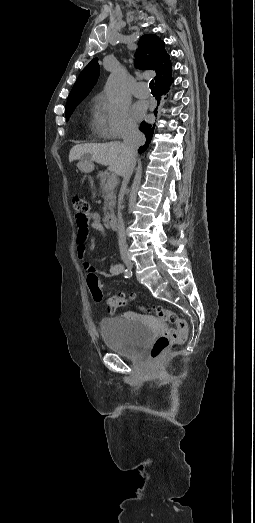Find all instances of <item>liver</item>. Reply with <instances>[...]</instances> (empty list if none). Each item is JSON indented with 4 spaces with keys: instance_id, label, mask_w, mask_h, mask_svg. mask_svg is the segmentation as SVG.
I'll return each instance as SVG.
<instances>
[{
    "instance_id": "1",
    "label": "liver",
    "mask_w": 255,
    "mask_h": 523,
    "mask_svg": "<svg viewBox=\"0 0 255 523\" xmlns=\"http://www.w3.org/2000/svg\"><path fill=\"white\" fill-rule=\"evenodd\" d=\"M124 144L120 142H109V144H77L73 146L69 154V162L74 160H81L85 154H90L91 160L101 164V166H108L110 172H114L117 176H121L125 162L121 158Z\"/></svg>"
}]
</instances>
